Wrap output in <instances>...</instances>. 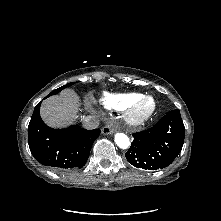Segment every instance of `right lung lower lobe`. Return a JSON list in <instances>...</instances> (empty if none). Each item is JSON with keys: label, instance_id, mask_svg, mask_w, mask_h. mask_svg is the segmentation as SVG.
Returning a JSON list of instances; mask_svg holds the SVG:
<instances>
[{"label": "right lung lower lobe", "instance_id": "right-lung-lower-lobe-1", "mask_svg": "<svg viewBox=\"0 0 221 221\" xmlns=\"http://www.w3.org/2000/svg\"><path fill=\"white\" fill-rule=\"evenodd\" d=\"M40 105L41 102L36 105L28 126V144L33 156L41 164L58 171L83 167L101 131L75 125L67 129L50 128L40 117Z\"/></svg>", "mask_w": 221, "mask_h": 221}]
</instances>
